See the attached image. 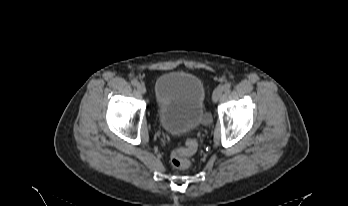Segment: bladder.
Listing matches in <instances>:
<instances>
[{"instance_id": "1", "label": "bladder", "mask_w": 348, "mask_h": 206, "mask_svg": "<svg viewBox=\"0 0 348 206\" xmlns=\"http://www.w3.org/2000/svg\"><path fill=\"white\" fill-rule=\"evenodd\" d=\"M156 116L163 130L173 137L193 133L208 123L205 86L195 75L166 72L154 85Z\"/></svg>"}]
</instances>
